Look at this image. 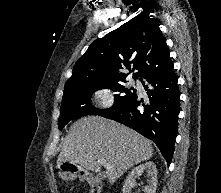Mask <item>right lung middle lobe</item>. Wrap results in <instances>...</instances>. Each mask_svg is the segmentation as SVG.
I'll return each instance as SVG.
<instances>
[{
    "instance_id": "right-lung-middle-lobe-1",
    "label": "right lung middle lobe",
    "mask_w": 221,
    "mask_h": 193,
    "mask_svg": "<svg viewBox=\"0 0 221 193\" xmlns=\"http://www.w3.org/2000/svg\"><path fill=\"white\" fill-rule=\"evenodd\" d=\"M123 82L108 83L102 85L73 87L64 89L62 104L60 108V117L58 120L59 130L73 118L82 115H97L103 111L111 110L120 107L122 104L128 102L136 95V89L125 88ZM108 87L113 91L123 94L115 95V103L110 109L99 110L90 103L91 95L99 90Z\"/></svg>"
}]
</instances>
